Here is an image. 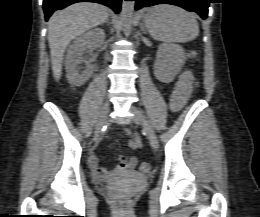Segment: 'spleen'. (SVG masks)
<instances>
[{"instance_id": "obj_1", "label": "spleen", "mask_w": 260, "mask_h": 217, "mask_svg": "<svg viewBox=\"0 0 260 217\" xmlns=\"http://www.w3.org/2000/svg\"><path fill=\"white\" fill-rule=\"evenodd\" d=\"M150 35L163 42H187L199 34L198 22L193 13L173 6L157 5L145 15Z\"/></svg>"}]
</instances>
